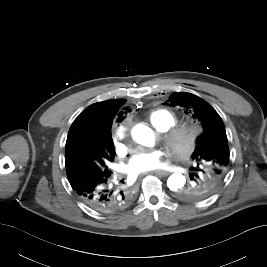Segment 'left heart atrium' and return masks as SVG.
Masks as SVG:
<instances>
[{"instance_id":"1","label":"left heart atrium","mask_w":267,"mask_h":267,"mask_svg":"<svg viewBox=\"0 0 267 267\" xmlns=\"http://www.w3.org/2000/svg\"><path fill=\"white\" fill-rule=\"evenodd\" d=\"M163 156L161 149L137 152L126 164L125 171L130 176H140L158 170L164 165Z\"/></svg>"}]
</instances>
